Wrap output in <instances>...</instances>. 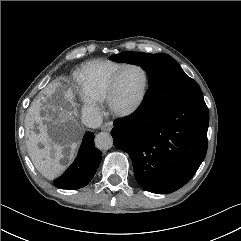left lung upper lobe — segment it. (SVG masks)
<instances>
[{
	"instance_id": "obj_1",
	"label": "left lung upper lobe",
	"mask_w": 241,
	"mask_h": 241,
	"mask_svg": "<svg viewBox=\"0 0 241 241\" xmlns=\"http://www.w3.org/2000/svg\"><path fill=\"white\" fill-rule=\"evenodd\" d=\"M110 58L117 62H134L140 65L149 76V88L160 85L173 101L202 95L197 82L169 55L124 51Z\"/></svg>"
}]
</instances>
